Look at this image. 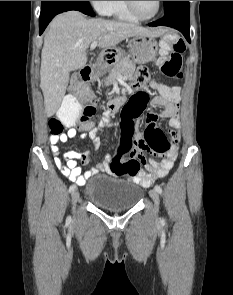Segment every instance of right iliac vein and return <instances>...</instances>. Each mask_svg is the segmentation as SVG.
Listing matches in <instances>:
<instances>
[{
	"label": "right iliac vein",
	"instance_id": "right-iliac-vein-1",
	"mask_svg": "<svg viewBox=\"0 0 233 295\" xmlns=\"http://www.w3.org/2000/svg\"><path fill=\"white\" fill-rule=\"evenodd\" d=\"M79 196H80V194H79V191L78 190H74L72 192L71 198H72V206H73V209H75V206H76V203H77V201L79 199Z\"/></svg>",
	"mask_w": 233,
	"mask_h": 295
}]
</instances>
